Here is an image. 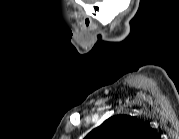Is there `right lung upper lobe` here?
I'll return each mask as SVG.
<instances>
[{
	"label": "right lung upper lobe",
	"mask_w": 179,
	"mask_h": 139,
	"mask_svg": "<svg viewBox=\"0 0 179 139\" xmlns=\"http://www.w3.org/2000/svg\"><path fill=\"white\" fill-rule=\"evenodd\" d=\"M156 135L145 122L129 115H115L92 130L86 139H148Z\"/></svg>",
	"instance_id": "obj_1"
}]
</instances>
